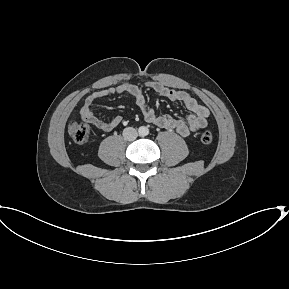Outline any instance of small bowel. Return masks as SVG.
<instances>
[{
  "label": "small bowel",
  "instance_id": "c3829d8e",
  "mask_svg": "<svg viewBox=\"0 0 289 289\" xmlns=\"http://www.w3.org/2000/svg\"><path fill=\"white\" fill-rule=\"evenodd\" d=\"M146 87L162 97L182 104L187 110L190 111V114L187 116L186 120H178L167 114H157L153 108L147 105L142 88L130 82H123L115 87H109L107 89H102L91 93L85 99V103L80 110V115L84 120L92 123L100 130L110 132L117 125L123 122L122 116L117 115L111 121H104L93 113L91 107L96 101L106 96L127 93L133 97L136 105L142 113L144 120L161 128L174 130L181 136L186 137L207 126L210 115L209 109L200 104L189 93L166 87L158 82H149L146 84Z\"/></svg>",
  "mask_w": 289,
  "mask_h": 289
}]
</instances>
